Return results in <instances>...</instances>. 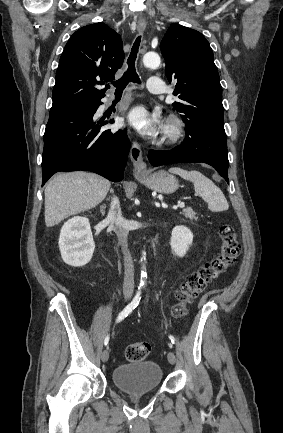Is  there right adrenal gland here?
I'll return each instance as SVG.
<instances>
[{
    "label": "right adrenal gland",
    "mask_w": 283,
    "mask_h": 433,
    "mask_svg": "<svg viewBox=\"0 0 283 433\" xmlns=\"http://www.w3.org/2000/svg\"><path fill=\"white\" fill-rule=\"evenodd\" d=\"M105 208H106L105 204H104V206H103V204H100V212H102V217H104Z\"/></svg>",
    "instance_id": "obj_1"
}]
</instances>
